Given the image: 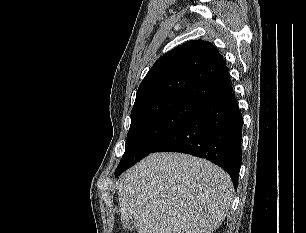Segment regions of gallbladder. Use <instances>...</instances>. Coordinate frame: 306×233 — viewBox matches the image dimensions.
<instances>
[{
	"label": "gallbladder",
	"instance_id": "bac80fb5",
	"mask_svg": "<svg viewBox=\"0 0 306 233\" xmlns=\"http://www.w3.org/2000/svg\"><path fill=\"white\" fill-rule=\"evenodd\" d=\"M123 228L128 231L135 230L134 218H130L126 221H122Z\"/></svg>",
	"mask_w": 306,
	"mask_h": 233
}]
</instances>
